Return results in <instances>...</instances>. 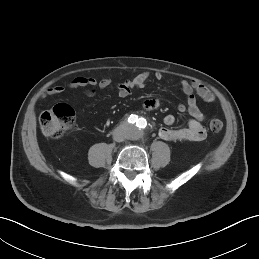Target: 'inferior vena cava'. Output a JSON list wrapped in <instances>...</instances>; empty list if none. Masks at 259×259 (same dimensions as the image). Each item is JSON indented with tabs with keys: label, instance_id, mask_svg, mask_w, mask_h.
Here are the masks:
<instances>
[{
	"label": "inferior vena cava",
	"instance_id": "602c4592",
	"mask_svg": "<svg viewBox=\"0 0 259 259\" xmlns=\"http://www.w3.org/2000/svg\"><path fill=\"white\" fill-rule=\"evenodd\" d=\"M113 139L117 142H122L124 141L125 137H124V134L120 131H115L113 133Z\"/></svg>",
	"mask_w": 259,
	"mask_h": 259
}]
</instances>
